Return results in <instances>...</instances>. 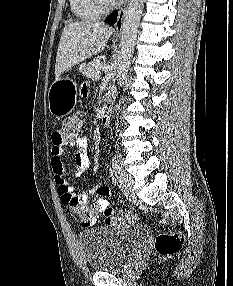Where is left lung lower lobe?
Listing matches in <instances>:
<instances>
[{"instance_id": "left-lung-lower-lobe-1", "label": "left lung lower lobe", "mask_w": 233, "mask_h": 286, "mask_svg": "<svg viewBox=\"0 0 233 286\" xmlns=\"http://www.w3.org/2000/svg\"><path fill=\"white\" fill-rule=\"evenodd\" d=\"M117 16H118V12H113L106 18V22L110 24H114L116 22Z\"/></svg>"}]
</instances>
